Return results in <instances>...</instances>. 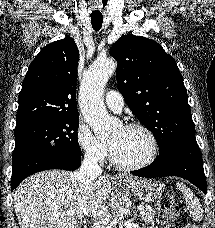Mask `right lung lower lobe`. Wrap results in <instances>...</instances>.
<instances>
[{"mask_svg":"<svg viewBox=\"0 0 215 228\" xmlns=\"http://www.w3.org/2000/svg\"><path fill=\"white\" fill-rule=\"evenodd\" d=\"M80 155L65 154L57 151H40L13 161L11 189H15L26 177L43 170L79 168Z\"/></svg>","mask_w":215,"mask_h":228,"instance_id":"right-lung-lower-lobe-1","label":"right lung lower lobe"}]
</instances>
